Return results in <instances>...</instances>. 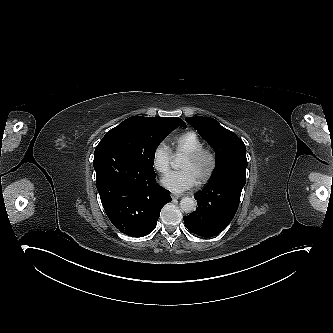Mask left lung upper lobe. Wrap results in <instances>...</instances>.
I'll use <instances>...</instances> for the list:
<instances>
[{
	"label": "left lung upper lobe",
	"mask_w": 333,
	"mask_h": 333,
	"mask_svg": "<svg viewBox=\"0 0 333 333\" xmlns=\"http://www.w3.org/2000/svg\"><path fill=\"white\" fill-rule=\"evenodd\" d=\"M185 120L214 148L216 168L210 180L222 178L224 182L230 183L245 176L246 147L239 137L210 117L197 116Z\"/></svg>",
	"instance_id": "left-lung-upper-lobe-1"
}]
</instances>
